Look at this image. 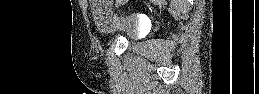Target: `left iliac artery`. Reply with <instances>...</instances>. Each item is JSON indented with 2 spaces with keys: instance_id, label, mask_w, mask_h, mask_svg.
<instances>
[{
  "instance_id": "left-iliac-artery-1",
  "label": "left iliac artery",
  "mask_w": 259,
  "mask_h": 94,
  "mask_svg": "<svg viewBox=\"0 0 259 94\" xmlns=\"http://www.w3.org/2000/svg\"><path fill=\"white\" fill-rule=\"evenodd\" d=\"M122 3V0H117L116 5H120Z\"/></svg>"
}]
</instances>
